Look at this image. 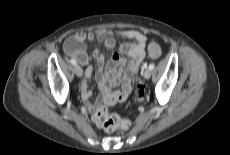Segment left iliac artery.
Wrapping results in <instances>:
<instances>
[{
    "mask_svg": "<svg viewBox=\"0 0 230 155\" xmlns=\"http://www.w3.org/2000/svg\"><path fill=\"white\" fill-rule=\"evenodd\" d=\"M154 66H155L154 63H151V64L149 65V69H150V70H153V69H154Z\"/></svg>",
    "mask_w": 230,
    "mask_h": 155,
    "instance_id": "obj_1",
    "label": "left iliac artery"
}]
</instances>
